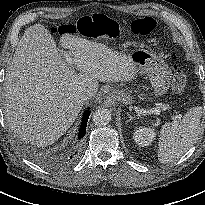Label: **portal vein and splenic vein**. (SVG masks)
<instances>
[{"instance_id": "portal-vein-and-splenic-vein-1", "label": "portal vein and splenic vein", "mask_w": 205, "mask_h": 205, "mask_svg": "<svg viewBox=\"0 0 205 205\" xmlns=\"http://www.w3.org/2000/svg\"><path fill=\"white\" fill-rule=\"evenodd\" d=\"M64 57H65V59H66V61L69 63V64H72L73 63V58H71L70 56H69V54H67V53H64ZM163 108L164 109H167L164 105H163ZM145 113H147V114H156V115H159L160 113H161V110H159V109H156V108H152V109H149V110H146L145 111ZM172 119L174 120V121H177L178 119H180V116H178V115H173L172 116Z\"/></svg>"}]
</instances>
